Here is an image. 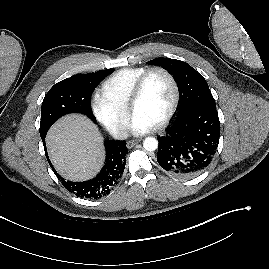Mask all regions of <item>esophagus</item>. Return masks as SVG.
<instances>
[{"mask_svg": "<svg viewBox=\"0 0 269 269\" xmlns=\"http://www.w3.org/2000/svg\"><path fill=\"white\" fill-rule=\"evenodd\" d=\"M139 141L140 140H130V141H128L127 142V148H132V147H134L136 144H138L139 143Z\"/></svg>", "mask_w": 269, "mask_h": 269, "instance_id": "1", "label": "esophagus"}]
</instances>
